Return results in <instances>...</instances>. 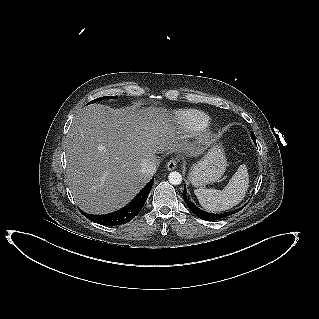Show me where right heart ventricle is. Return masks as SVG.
I'll list each match as a JSON object with an SVG mask.
<instances>
[{
	"instance_id": "e07e8e85",
	"label": "right heart ventricle",
	"mask_w": 319,
	"mask_h": 319,
	"mask_svg": "<svg viewBox=\"0 0 319 319\" xmlns=\"http://www.w3.org/2000/svg\"><path fill=\"white\" fill-rule=\"evenodd\" d=\"M175 119L183 132H198L210 123V117L206 113L195 109L177 111Z\"/></svg>"
}]
</instances>
